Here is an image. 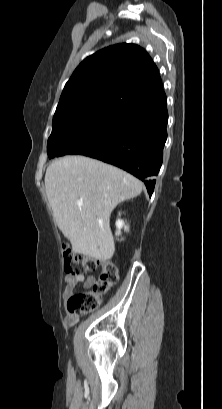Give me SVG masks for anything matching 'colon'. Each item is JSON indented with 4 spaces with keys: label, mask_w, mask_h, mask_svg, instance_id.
Here are the masks:
<instances>
[{
    "label": "colon",
    "mask_w": 222,
    "mask_h": 409,
    "mask_svg": "<svg viewBox=\"0 0 222 409\" xmlns=\"http://www.w3.org/2000/svg\"><path fill=\"white\" fill-rule=\"evenodd\" d=\"M64 270L73 274H84L101 266L98 280L88 291L73 294L67 301V311L71 315H85L98 308L102 298L117 284L119 273L112 261H98L76 254L68 245L63 248Z\"/></svg>",
    "instance_id": "5ec220e1"
}]
</instances>
